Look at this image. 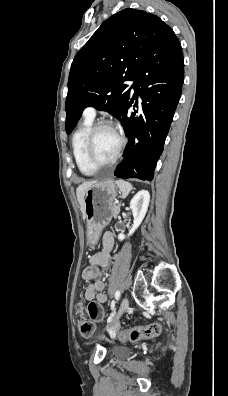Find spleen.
I'll list each match as a JSON object with an SVG mask.
<instances>
[{
	"instance_id": "1",
	"label": "spleen",
	"mask_w": 228,
	"mask_h": 396,
	"mask_svg": "<svg viewBox=\"0 0 228 396\" xmlns=\"http://www.w3.org/2000/svg\"><path fill=\"white\" fill-rule=\"evenodd\" d=\"M116 184L119 187L123 198H126L130 191L133 189L132 184L124 180H116Z\"/></svg>"
}]
</instances>
